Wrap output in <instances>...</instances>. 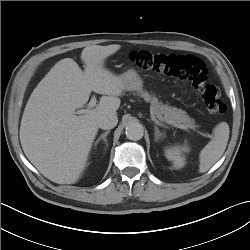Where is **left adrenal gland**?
Here are the masks:
<instances>
[{"label":"left adrenal gland","instance_id":"obj_1","mask_svg":"<svg viewBox=\"0 0 250 250\" xmlns=\"http://www.w3.org/2000/svg\"><path fill=\"white\" fill-rule=\"evenodd\" d=\"M154 129H155V141H158L159 139L165 137V133L160 132L159 128L156 125L154 126Z\"/></svg>","mask_w":250,"mask_h":250}]
</instances>
